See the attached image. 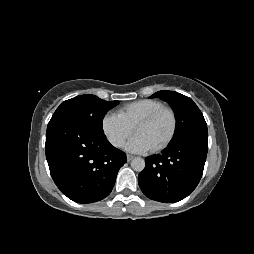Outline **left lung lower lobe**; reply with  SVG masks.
<instances>
[{
	"label": "left lung lower lobe",
	"instance_id": "left-lung-lower-lobe-1",
	"mask_svg": "<svg viewBox=\"0 0 254 254\" xmlns=\"http://www.w3.org/2000/svg\"><path fill=\"white\" fill-rule=\"evenodd\" d=\"M208 137L193 136L172 143L162 154L145 159L138 176L142 192L164 203L178 202L198 185L206 161Z\"/></svg>",
	"mask_w": 254,
	"mask_h": 254
}]
</instances>
